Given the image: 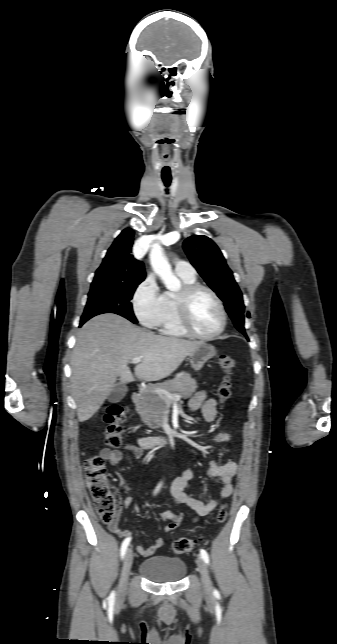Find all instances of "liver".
<instances>
[{"mask_svg": "<svg viewBox=\"0 0 337 644\" xmlns=\"http://www.w3.org/2000/svg\"><path fill=\"white\" fill-rule=\"evenodd\" d=\"M155 335L115 314L86 322L77 334L71 356V389L80 422L90 419L117 385L134 381L128 363L142 357L134 375L157 381L173 373L201 344Z\"/></svg>", "mask_w": 337, "mask_h": 644, "instance_id": "6515ba94", "label": "liver"}]
</instances>
